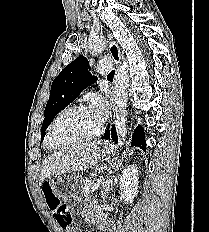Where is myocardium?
Masks as SVG:
<instances>
[{"label":"myocardium","instance_id":"f54148a6","mask_svg":"<svg viewBox=\"0 0 209 232\" xmlns=\"http://www.w3.org/2000/svg\"><path fill=\"white\" fill-rule=\"evenodd\" d=\"M79 110H90V108L87 105H84V104H79V105H74V106L68 107V108L64 109L63 111H61L57 115V117L52 121V123L48 127V130H47V133H46V136H45V145H46V147L48 149H50V150L61 149L63 147H66L68 145H71V144H74V143H77V142H82V141H85V140L92 139V138L98 136L102 132L103 122L100 121L97 128L93 132H91V133H89L87 135H84L82 137L72 139V140H70V141H68V142H66V143H64L62 145H58V146L53 145L52 142H51V134H52V130H53L54 126L66 114H68L70 112H73V111H79Z\"/></svg>","mask_w":209,"mask_h":232}]
</instances>
